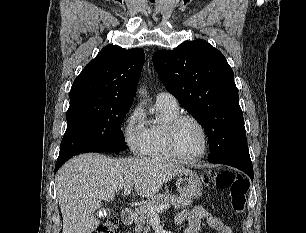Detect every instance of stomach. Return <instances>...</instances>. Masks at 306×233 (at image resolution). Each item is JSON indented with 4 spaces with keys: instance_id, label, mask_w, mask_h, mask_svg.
<instances>
[{
    "instance_id": "obj_1",
    "label": "stomach",
    "mask_w": 306,
    "mask_h": 233,
    "mask_svg": "<svg viewBox=\"0 0 306 233\" xmlns=\"http://www.w3.org/2000/svg\"><path fill=\"white\" fill-rule=\"evenodd\" d=\"M179 194L186 199H195L202 194V183L198 175L193 171L182 172L176 182Z\"/></svg>"
}]
</instances>
